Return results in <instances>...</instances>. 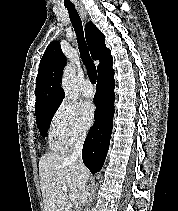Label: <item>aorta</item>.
<instances>
[{"instance_id":"762f6f07","label":"aorta","mask_w":178,"mask_h":211,"mask_svg":"<svg viewBox=\"0 0 178 211\" xmlns=\"http://www.w3.org/2000/svg\"><path fill=\"white\" fill-rule=\"evenodd\" d=\"M75 69L71 65H67L62 76V89L67 99H72L76 96L74 88ZM86 211H89L87 208Z\"/></svg>"}]
</instances>
